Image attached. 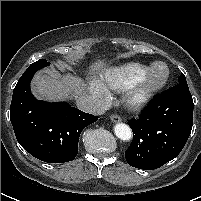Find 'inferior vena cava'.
I'll use <instances>...</instances> for the list:
<instances>
[{
    "instance_id": "inferior-vena-cava-1",
    "label": "inferior vena cava",
    "mask_w": 201,
    "mask_h": 201,
    "mask_svg": "<svg viewBox=\"0 0 201 201\" xmlns=\"http://www.w3.org/2000/svg\"><path fill=\"white\" fill-rule=\"evenodd\" d=\"M76 104L80 110L86 113L102 115L105 112L101 104L87 94L79 95L76 99Z\"/></svg>"
}]
</instances>
